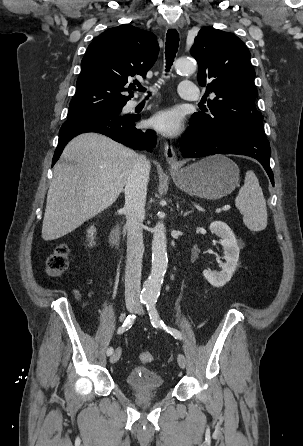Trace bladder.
<instances>
[{"label":"bladder","instance_id":"31cf9c89","mask_svg":"<svg viewBox=\"0 0 303 446\" xmlns=\"http://www.w3.org/2000/svg\"><path fill=\"white\" fill-rule=\"evenodd\" d=\"M125 383L135 391H158L164 387V378L153 370L135 367L127 373Z\"/></svg>","mask_w":303,"mask_h":446}]
</instances>
